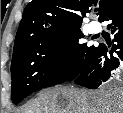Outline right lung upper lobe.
<instances>
[{
  "label": "right lung upper lobe",
  "instance_id": "1",
  "mask_svg": "<svg viewBox=\"0 0 123 113\" xmlns=\"http://www.w3.org/2000/svg\"><path fill=\"white\" fill-rule=\"evenodd\" d=\"M118 0H101L99 21ZM97 0H32L24 9L14 48L41 37L81 28L82 18Z\"/></svg>",
  "mask_w": 123,
  "mask_h": 113
}]
</instances>
